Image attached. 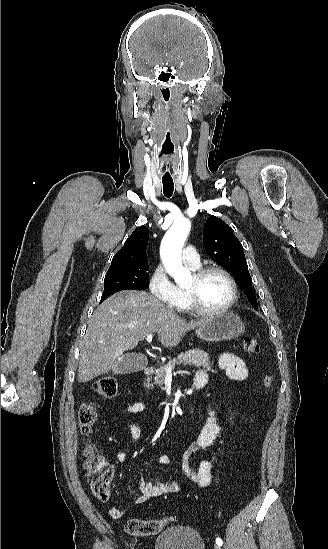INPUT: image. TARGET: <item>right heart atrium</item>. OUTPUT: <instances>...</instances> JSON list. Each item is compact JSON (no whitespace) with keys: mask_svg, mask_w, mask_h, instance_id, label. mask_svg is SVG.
I'll return each instance as SVG.
<instances>
[{"mask_svg":"<svg viewBox=\"0 0 328 549\" xmlns=\"http://www.w3.org/2000/svg\"><path fill=\"white\" fill-rule=\"evenodd\" d=\"M174 290L161 262L156 263L149 273L148 291L151 303H167Z\"/></svg>","mask_w":328,"mask_h":549,"instance_id":"1","label":"right heart atrium"}]
</instances>
